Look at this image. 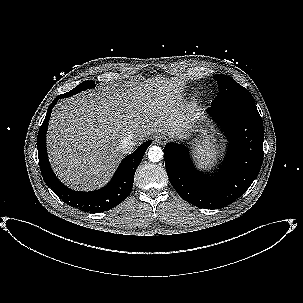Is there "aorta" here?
Masks as SVG:
<instances>
[{
  "mask_svg": "<svg viewBox=\"0 0 303 303\" xmlns=\"http://www.w3.org/2000/svg\"><path fill=\"white\" fill-rule=\"evenodd\" d=\"M163 150L159 146H151L148 149V158L151 162H159L163 158Z\"/></svg>",
  "mask_w": 303,
  "mask_h": 303,
  "instance_id": "762f6f07",
  "label": "aorta"
}]
</instances>
